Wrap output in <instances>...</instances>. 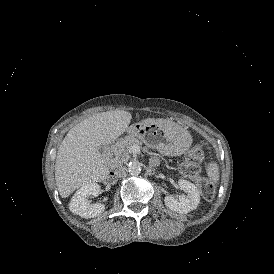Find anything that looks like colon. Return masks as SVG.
Returning a JSON list of instances; mask_svg holds the SVG:
<instances>
[{
	"label": "colon",
	"mask_w": 274,
	"mask_h": 274,
	"mask_svg": "<svg viewBox=\"0 0 274 274\" xmlns=\"http://www.w3.org/2000/svg\"><path fill=\"white\" fill-rule=\"evenodd\" d=\"M204 156V145L201 143H197L193 145L186 153V158L183 162L178 164V169L180 172L189 177L198 178L204 198L207 200H211L214 197V191L211 183L208 180H202L199 177V162L204 159Z\"/></svg>",
	"instance_id": "obj_1"
}]
</instances>
